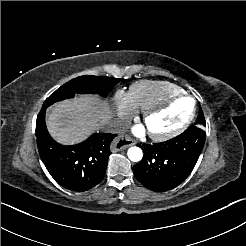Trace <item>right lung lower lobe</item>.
I'll return each instance as SVG.
<instances>
[{
	"mask_svg": "<svg viewBox=\"0 0 246 246\" xmlns=\"http://www.w3.org/2000/svg\"><path fill=\"white\" fill-rule=\"evenodd\" d=\"M46 108L37 116L36 136L39 153L51 176L63 187L83 192L101 182L105 175L109 144L115 134H93L86 141L63 146L55 142L45 125Z\"/></svg>",
	"mask_w": 246,
	"mask_h": 246,
	"instance_id": "obj_1",
	"label": "right lung lower lobe"
}]
</instances>
